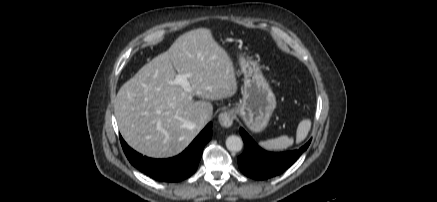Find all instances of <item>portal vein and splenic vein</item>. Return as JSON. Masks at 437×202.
Wrapping results in <instances>:
<instances>
[{
  "mask_svg": "<svg viewBox=\"0 0 437 202\" xmlns=\"http://www.w3.org/2000/svg\"><path fill=\"white\" fill-rule=\"evenodd\" d=\"M174 84L180 85L184 88L185 91H191V86L188 81V76L185 74H179L175 77Z\"/></svg>",
  "mask_w": 437,
  "mask_h": 202,
  "instance_id": "obj_1",
  "label": "portal vein and splenic vein"
}]
</instances>
